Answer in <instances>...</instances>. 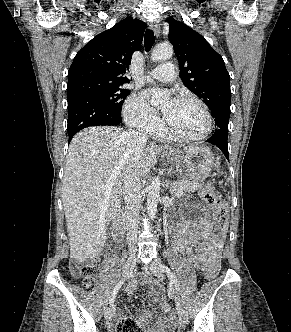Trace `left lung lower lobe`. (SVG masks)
<instances>
[{
    "label": "left lung lower lobe",
    "mask_w": 291,
    "mask_h": 332,
    "mask_svg": "<svg viewBox=\"0 0 291 332\" xmlns=\"http://www.w3.org/2000/svg\"><path fill=\"white\" fill-rule=\"evenodd\" d=\"M212 116L215 119V123L217 128L215 133L212 135L207 142L216 145L219 149H221L226 158L229 160L228 155V145H227V138H228V122L230 117V105H221L218 109L212 113Z\"/></svg>",
    "instance_id": "1"
}]
</instances>
